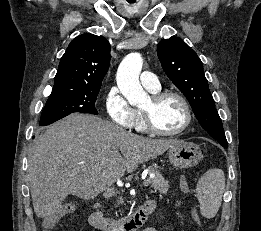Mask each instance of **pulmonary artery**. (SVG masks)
I'll use <instances>...</instances> for the list:
<instances>
[{
  "mask_svg": "<svg viewBox=\"0 0 261 231\" xmlns=\"http://www.w3.org/2000/svg\"><path fill=\"white\" fill-rule=\"evenodd\" d=\"M141 83L146 89L150 91H158L160 89V84L157 80V77L151 71L145 70L141 73Z\"/></svg>",
  "mask_w": 261,
  "mask_h": 231,
  "instance_id": "e3ab8cb5",
  "label": "pulmonary artery"
}]
</instances>
